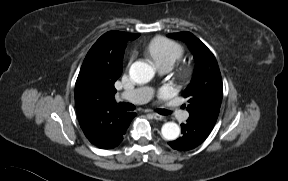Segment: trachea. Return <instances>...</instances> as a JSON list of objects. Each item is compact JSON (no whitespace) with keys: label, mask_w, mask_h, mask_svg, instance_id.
<instances>
[{"label":"trachea","mask_w":288,"mask_h":181,"mask_svg":"<svg viewBox=\"0 0 288 181\" xmlns=\"http://www.w3.org/2000/svg\"><path fill=\"white\" fill-rule=\"evenodd\" d=\"M119 106L125 110H128V111H132V110H135V106L131 103H119ZM157 112L161 115H169L171 114L170 111L168 110H165V109H158Z\"/></svg>","instance_id":"trachea-1"}]
</instances>
